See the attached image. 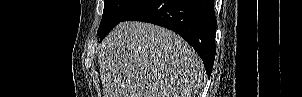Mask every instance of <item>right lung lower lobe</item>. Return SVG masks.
<instances>
[{
  "instance_id": "obj_1",
  "label": "right lung lower lobe",
  "mask_w": 302,
  "mask_h": 97,
  "mask_svg": "<svg viewBox=\"0 0 302 97\" xmlns=\"http://www.w3.org/2000/svg\"><path fill=\"white\" fill-rule=\"evenodd\" d=\"M130 20L178 33L199 54L210 76L216 53L214 0H143L122 19Z\"/></svg>"
}]
</instances>
